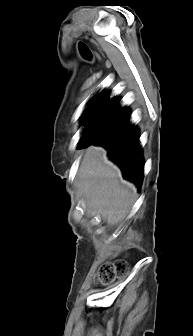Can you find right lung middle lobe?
<instances>
[{
    "label": "right lung middle lobe",
    "mask_w": 193,
    "mask_h": 336,
    "mask_svg": "<svg viewBox=\"0 0 193 336\" xmlns=\"http://www.w3.org/2000/svg\"><path fill=\"white\" fill-rule=\"evenodd\" d=\"M114 109L107 110L101 114L96 120L90 121L83 132L81 140H92L97 137L104 129L109 117ZM87 122V121H84Z\"/></svg>",
    "instance_id": "1"
}]
</instances>
